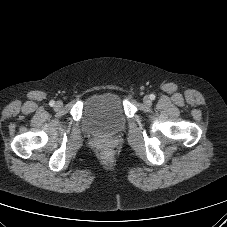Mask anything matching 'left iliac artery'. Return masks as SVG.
<instances>
[{"label": "left iliac artery", "mask_w": 227, "mask_h": 227, "mask_svg": "<svg viewBox=\"0 0 227 227\" xmlns=\"http://www.w3.org/2000/svg\"><path fill=\"white\" fill-rule=\"evenodd\" d=\"M149 97H150L151 100H154L155 99V95L154 94H150Z\"/></svg>", "instance_id": "44dca946"}]
</instances>
